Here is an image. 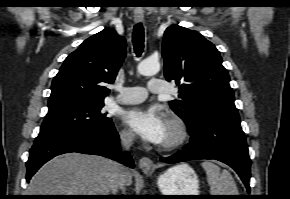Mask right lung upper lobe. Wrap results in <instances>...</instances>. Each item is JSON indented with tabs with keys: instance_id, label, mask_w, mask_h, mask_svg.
<instances>
[{
	"instance_id": "1",
	"label": "right lung upper lobe",
	"mask_w": 290,
	"mask_h": 199,
	"mask_svg": "<svg viewBox=\"0 0 290 199\" xmlns=\"http://www.w3.org/2000/svg\"><path fill=\"white\" fill-rule=\"evenodd\" d=\"M126 55V41L113 29L86 39L65 59L51 86L48 113L104 102Z\"/></svg>"
}]
</instances>
